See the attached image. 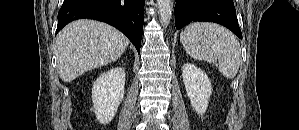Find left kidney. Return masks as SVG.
<instances>
[{"mask_svg": "<svg viewBox=\"0 0 299 130\" xmlns=\"http://www.w3.org/2000/svg\"><path fill=\"white\" fill-rule=\"evenodd\" d=\"M182 77L193 109L198 114H204L212 94L208 76L194 64L185 63L182 67Z\"/></svg>", "mask_w": 299, "mask_h": 130, "instance_id": "obj_1", "label": "left kidney"}]
</instances>
